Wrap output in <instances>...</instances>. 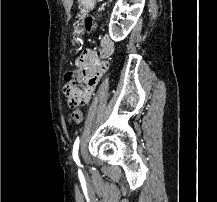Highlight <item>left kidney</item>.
<instances>
[{
    "instance_id": "obj_1",
    "label": "left kidney",
    "mask_w": 217,
    "mask_h": 202,
    "mask_svg": "<svg viewBox=\"0 0 217 202\" xmlns=\"http://www.w3.org/2000/svg\"><path fill=\"white\" fill-rule=\"evenodd\" d=\"M133 2V6H129V4H123V0H118L110 18L109 22V34L110 38L114 40V42H121V40H125L128 34H130L132 28H134L139 16L142 14V10L144 8L145 0H131ZM121 12H126L127 16L124 18V22L120 24L121 30L117 28L115 20L121 18Z\"/></svg>"
}]
</instances>
